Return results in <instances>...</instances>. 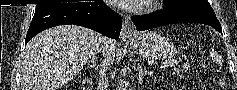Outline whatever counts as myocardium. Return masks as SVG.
Instances as JSON below:
<instances>
[{"instance_id": "f54148a6", "label": "myocardium", "mask_w": 237, "mask_h": 90, "mask_svg": "<svg viewBox=\"0 0 237 90\" xmlns=\"http://www.w3.org/2000/svg\"><path fill=\"white\" fill-rule=\"evenodd\" d=\"M133 10H135V11H139L140 9H139V8H133Z\"/></svg>"}]
</instances>
